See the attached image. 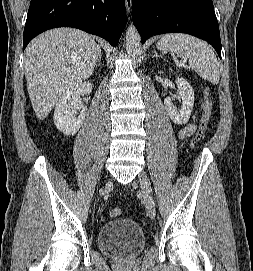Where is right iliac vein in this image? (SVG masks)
<instances>
[{"label":"right iliac vein","mask_w":253,"mask_h":271,"mask_svg":"<svg viewBox=\"0 0 253 271\" xmlns=\"http://www.w3.org/2000/svg\"><path fill=\"white\" fill-rule=\"evenodd\" d=\"M110 186V183H107V186L106 187H109Z\"/></svg>","instance_id":"right-iliac-vein-1"}]
</instances>
